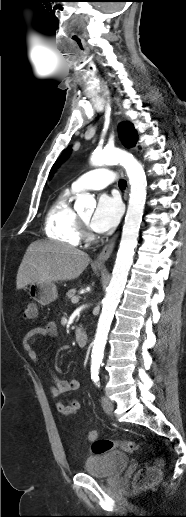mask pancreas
<instances>
[{"label": "pancreas", "instance_id": "cf45deb5", "mask_svg": "<svg viewBox=\"0 0 186 517\" xmlns=\"http://www.w3.org/2000/svg\"><path fill=\"white\" fill-rule=\"evenodd\" d=\"M66 296H67L69 299H72L73 297H77V296H76V289H70V290L66 293Z\"/></svg>", "mask_w": 186, "mask_h": 517}]
</instances>
